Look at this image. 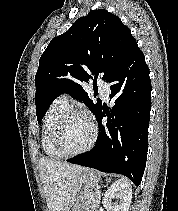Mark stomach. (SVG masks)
<instances>
[{
  "mask_svg": "<svg viewBox=\"0 0 178 211\" xmlns=\"http://www.w3.org/2000/svg\"><path fill=\"white\" fill-rule=\"evenodd\" d=\"M99 182V173L94 170H86L81 173L71 192L67 211H80L83 204L93 192Z\"/></svg>",
  "mask_w": 178,
  "mask_h": 211,
  "instance_id": "obj_1",
  "label": "stomach"
}]
</instances>
